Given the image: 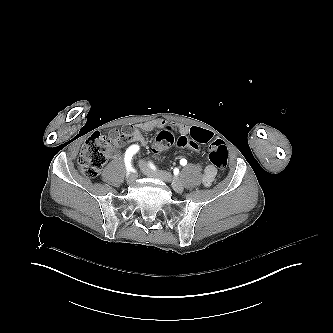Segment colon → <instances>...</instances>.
<instances>
[{
	"mask_svg": "<svg viewBox=\"0 0 333 333\" xmlns=\"http://www.w3.org/2000/svg\"><path fill=\"white\" fill-rule=\"evenodd\" d=\"M183 132L181 124H169L161 129L155 136L151 150L153 152H165L174 145L181 149L188 145L195 153L203 151L204 146L210 144L209 159L218 169H225L228 162V151L223 140L215 138L211 131H206L196 126H188L187 134ZM132 137V131L128 127L120 130L112 128L108 130L106 137L92 135L85 142L79 158V165L83 173L88 177H96L106 162L112 148L125 144Z\"/></svg>",
	"mask_w": 333,
	"mask_h": 333,
	"instance_id": "1",
	"label": "colon"
}]
</instances>
